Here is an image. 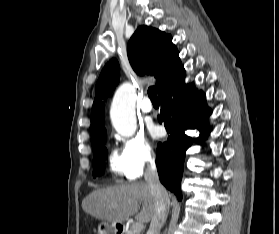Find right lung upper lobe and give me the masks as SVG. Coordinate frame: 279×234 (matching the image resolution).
I'll list each match as a JSON object with an SVG mask.
<instances>
[{
  "instance_id": "cb5924a9",
  "label": "right lung upper lobe",
  "mask_w": 279,
  "mask_h": 234,
  "mask_svg": "<svg viewBox=\"0 0 279 234\" xmlns=\"http://www.w3.org/2000/svg\"><path fill=\"white\" fill-rule=\"evenodd\" d=\"M178 54L171 35L145 25L138 27L128 42V58L132 68L137 74L153 75L157 79L158 94L184 70ZM119 78V64L112 59L103 68L95 87L90 126L92 144L106 136L105 104L102 99L110 95Z\"/></svg>"
}]
</instances>
